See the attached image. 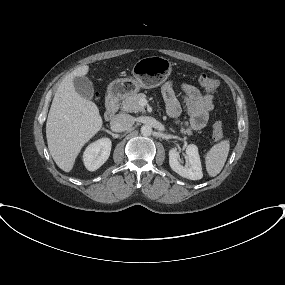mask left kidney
Listing matches in <instances>:
<instances>
[{
    "instance_id": "1",
    "label": "left kidney",
    "mask_w": 285,
    "mask_h": 285,
    "mask_svg": "<svg viewBox=\"0 0 285 285\" xmlns=\"http://www.w3.org/2000/svg\"><path fill=\"white\" fill-rule=\"evenodd\" d=\"M179 159V151L176 148L170 149L169 165L174 172L190 180H200L203 177L200 156L196 145L190 144L187 146L185 166L179 162Z\"/></svg>"
}]
</instances>
